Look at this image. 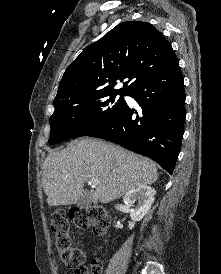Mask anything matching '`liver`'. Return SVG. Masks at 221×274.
Returning <instances> with one entry per match:
<instances>
[{"mask_svg":"<svg viewBox=\"0 0 221 274\" xmlns=\"http://www.w3.org/2000/svg\"><path fill=\"white\" fill-rule=\"evenodd\" d=\"M98 184L89 195L93 203H109L158 179L156 164L120 146L91 138L71 142L50 152L43 163V189L49 206L72 205L83 196L86 181Z\"/></svg>","mask_w":221,"mask_h":274,"instance_id":"liver-1","label":"liver"}]
</instances>
